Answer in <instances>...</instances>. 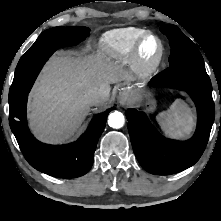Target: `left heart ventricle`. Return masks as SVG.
I'll use <instances>...</instances> for the list:
<instances>
[{"label":"left heart ventricle","instance_id":"b2bd125f","mask_svg":"<svg viewBox=\"0 0 221 221\" xmlns=\"http://www.w3.org/2000/svg\"><path fill=\"white\" fill-rule=\"evenodd\" d=\"M157 49V42L153 38H150L145 42L143 46V54L147 59H151L155 56Z\"/></svg>","mask_w":221,"mask_h":221}]
</instances>
